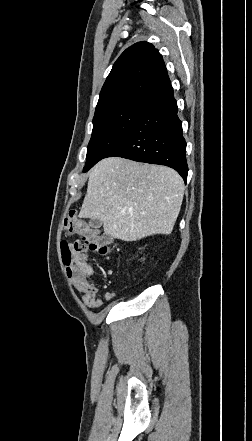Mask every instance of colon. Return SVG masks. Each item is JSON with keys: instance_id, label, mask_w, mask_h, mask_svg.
<instances>
[{"instance_id": "5ec220e1", "label": "colon", "mask_w": 252, "mask_h": 441, "mask_svg": "<svg viewBox=\"0 0 252 441\" xmlns=\"http://www.w3.org/2000/svg\"><path fill=\"white\" fill-rule=\"evenodd\" d=\"M65 225L68 232L79 235L82 241H62V261L72 281H83L86 279L88 266L87 251L106 255L109 253L111 239L100 229L78 219L73 213L66 218Z\"/></svg>"}]
</instances>
